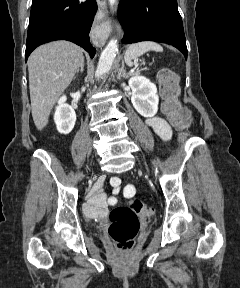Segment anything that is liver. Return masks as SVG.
<instances>
[{
    "instance_id": "1",
    "label": "liver",
    "mask_w": 240,
    "mask_h": 288,
    "mask_svg": "<svg viewBox=\"0 0 240 288\" xmlns=\"http://www.w3.org/2000/svg\"><path fill=\"white\" fill-rule=\"evenodd\" d=\"M84 61L83 50L69 41L35 49L28 59L29 90L34 124L42 130L57 98L70 85Z\"/></svg>"
}]
</instances>
